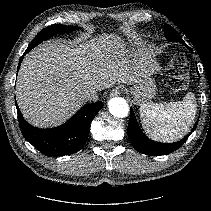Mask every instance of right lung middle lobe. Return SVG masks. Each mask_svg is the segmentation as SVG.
<instances>
[{"mask_svg":"<svg viewBox=\"0 0 211 211\" xmlns=\"http://www.w3.org/2000/svg\"><path fill=\"white\" fill-rule=\"evenodd\" d=\"M78 27L76 26H66V25H51L43 29L31 42L28 46L27 51L33 49L36 45L41 43L44 40L49 39L51 36L60 34V33H67L74 30H77Z\"/></svg>","mask_w":211,"mask_h":211,"instance_id":"dd1d6c3e","label":"right lung middle lobe"}]
</instances>
